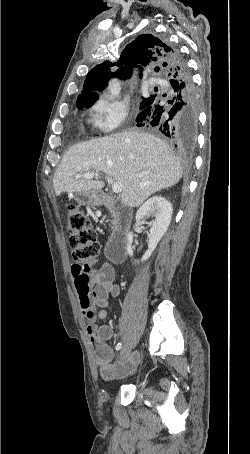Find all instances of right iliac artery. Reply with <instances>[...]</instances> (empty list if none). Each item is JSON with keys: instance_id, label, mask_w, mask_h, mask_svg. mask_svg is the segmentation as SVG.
I'll use <instances>...</instances> for the list:
<instances>
[{"instance_id": "right-iliac-artery-1", "label": "right iliac artery", "mask_w": 250, "mask_h": 454, "mask_svg": "<svg viewBox=\"0 0 250 454\" xmlns=\"http://www.w3.org/2000/svg\"><path fill=\"white\" fill-rule=\"evenodd\" d=\"M121 347H122V344H121V343H118V344L116 345V350H120Z\"/></svg>"}]
</instances>
